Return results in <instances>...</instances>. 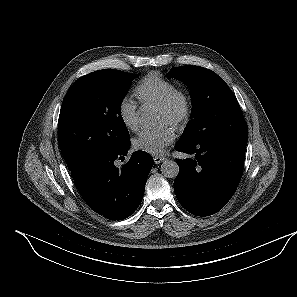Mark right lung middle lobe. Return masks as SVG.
<instances>
[{
	"instance_id": "dd1d6c3e",
	"label": "right lung middle lobe",
	"mask_w": 297,
	"mask_h": 297,
	"mask_svg": "<svg viewBox=\"0 0 297 297\" xmlns=\"http://www.w3.org/2000/svg\"><path fill=\"white\" fill-rule=\"evenodd\" d=\"M134 77L120 70L95 71L80 77L68 90L60 110L58 138L69 170L130 142L121 102Z\"/></svg>"
}]
</instances>
